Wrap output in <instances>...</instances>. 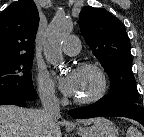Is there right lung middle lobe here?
<instances>
[{"mask_svg":"<svg viewBox=\"0 0 144 137\" xmlns=\"http://www.w3.org/2000/svg\"><path fill=\"white\" fill-rule=\"evenodd\" d=\"M33 56L20 57L0 63V97L15 96L27 101L37 98L32 83Z\"/></svg>","mask_w":144,"mask_h":137,"instance_id":"right-lung-middle-lobe-1","label":"right lung middle lobe"}]
</instances>
